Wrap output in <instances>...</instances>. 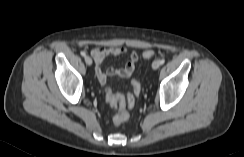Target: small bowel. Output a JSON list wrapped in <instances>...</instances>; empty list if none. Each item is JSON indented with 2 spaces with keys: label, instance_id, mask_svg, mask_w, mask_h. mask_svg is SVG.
<instances>
[{
  "label": "small bowel",
  "instance_id": "obj_1",
  "mask_svg": "<svg viewBox=\"0 0 244 157\" xmlns=\"http://www.w3.org/2000/svg\"><path fill=\"white\" fill-rule=\"evenodd\" d=\"M126 48L122 46L112 47H95L91 50V55L95 62V74L101 85H105L108 77L118 76L122 78L130 77L135 69L138 61V54L136 51L129 53V59L126 64L121 68L108 67L103 68L104 59L108 56H118L126 53Z\"/></svg>",
  "mask_w": 244,
  "mask_h": 157
}]
</instances>
